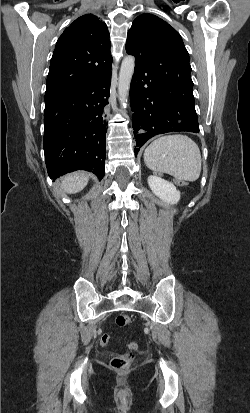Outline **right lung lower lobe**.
Returning a JSON list of instances; mask_svg holds the SVG:
<instances>
[{"label": "right lung lower lobe", "instance_id": "1", "mask_svg": "<svg viewBox=\"0 0 250 413\" xmlns=\"http://www.w3.org/2000/svg\"><path fill=\"white\" fill-rule=\"evenodd\" d=\"M111 70L90 83L45 94L44 153L48 175L75 170L105 174L106 109Z\"/></svg>", "mask_w": 250, "mask_h": 413}]
</instances>
